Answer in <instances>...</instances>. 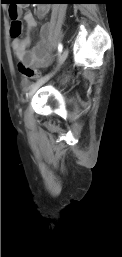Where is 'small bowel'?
<instances>
[{"mask_svg": "<svg viewBox=\"0 0 122 257\" xmlns=\"http://www.w3.org/2000/svg\"><path fill=\"white\" fill-rule=\"evenodd\" d=\"M48 11L49 8L46 5H39L37 7V17L43 19ZM20 12L21 10H18V13ZM23 19L29 31L37 25L36 17L31 12H26ZM50 32V23H44L41 26L39 40L32 48H29L31 42L29 35L12 40L13 51L20 63L33 68L44 67L50 64Z\"/></svg>", "mask_w": 122, "mask_h": 257, "instance_id": "obj_1", "label": "small bowel"}]
</instances>
